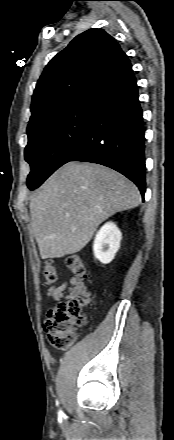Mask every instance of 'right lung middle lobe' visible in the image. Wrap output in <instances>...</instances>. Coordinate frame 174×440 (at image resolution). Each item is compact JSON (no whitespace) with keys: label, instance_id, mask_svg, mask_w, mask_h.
<instances>
[{"label":"right lung middle lobe","instance_id":"dd1d6c3e","mask_svg":"<svg viewBox=\"0 0 174 440\" xmlns=\"http://www.w3.org/2000/svg\"><path fill=\"white\" fill-rule=\"evenodd\" d=\"M94 103V94L82 96L27 127L25 160L31 166L28 188L36 189L66 163L86 133Z\"/></svg>","mask_w":174,"mask_h":440}]
</instances>
